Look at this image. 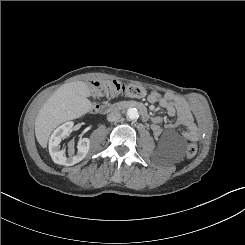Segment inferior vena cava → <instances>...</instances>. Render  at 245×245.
<instances>
[{
	"mask_svg": "<svg viewBox=\"0 0 245 245\" xmlns=\"http://www.w3.org/2000/svg\"><path fill=\"white\" fill-rule=\"evenodd\" d=\"M121 118V113L118 110H113L107 115V120L109 122L118 121Z\"/></svg>",
	"mask_w": 245,
	"mask_h": 245,
	"instance_id": "602c4592",
	"label": "inferior vena cava"
}]
</instances>
